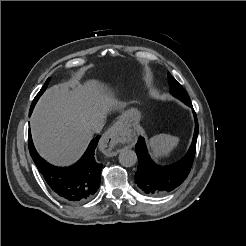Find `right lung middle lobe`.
Here are the masks:
<instances>
[{"label": "right lung middle lobe", "instance_id": "1", "mask_svg": "<svg viewBox=\"0 0 246 246\" xmlns=\"http://www.w3.org/2000/svg\"><path fill=\"white\" fill-rule=\"evenodd\" d=\"M49 81H50V78H48V79L46 80V82H45V84L43 85L42 89L39 91V93L37 94V96H36L35 99L33 100V103H32L31 106H33V107L35 106V104H36V102L38 101L39 97H40V96L43 94V92L46 90Z\"/></svg>", "mask_w": 246, "mask_h": 246}]
</instances>
